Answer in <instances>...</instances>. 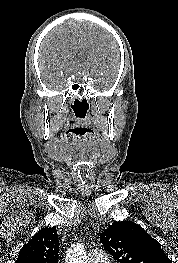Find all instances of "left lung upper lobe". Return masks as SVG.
Here are the masks:
<instances>
[{
  "label": "left lung upper lobe",
  "mask_w": 178,
  "mask_h": 263,
  "mask_svg": "<svg viewBox=\"0 0 178 263\" xmlns=\"http://www.w3.org/2000/svg\"><path fill=\"white\" fill-rule=\"evenodd\" d=\"M100 240L119 263H172L159 242L132 221L113 223Z\"/></svg>",
  "instance_id": "1"
}]
</instances>
